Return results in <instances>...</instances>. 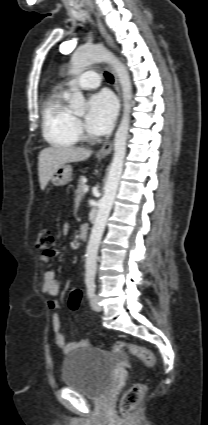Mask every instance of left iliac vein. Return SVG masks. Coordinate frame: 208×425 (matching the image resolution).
<instances>
[{
  "instance_id": "1",
  "label": "left iliac vein",
  "mask_w": 208,
  "mask_h": 425,
  "mask_svg": "<svg viewBox=\"0 0 208 425\" xmlns=\"http://www.w3.org/2000/svg\"><path fill=\"white\" fill-rule=\"evenodd\" d=\"M90 303H91V307H92L93 310L98 311V312L101 311L102 307L99 304V297L97 295H94L91 298Z\"/></svg>"
}]
</instances>
